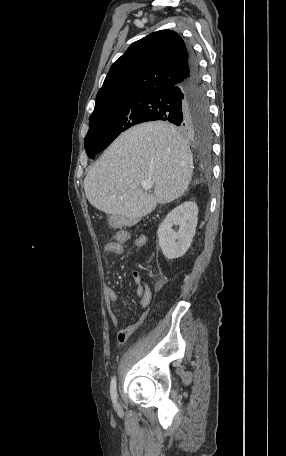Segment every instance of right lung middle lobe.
<instances>
[{
  "label": "right lung middle lobe",
  "mask_w": 286,
  "mask_h": 456,
  "mask_svg": "<svg viewBox=\"0 0 286 456\" xmlns=\"http://www.w3.org/2000/svg\"><path fill=\"white\" fill-rule=\"evenodd\" d=\"M140 98L141 96H133L120 99L93 112L84 141L91 159L110 145L121 132L144 121L145 108ZM191 129L208 139L211 133L210 115L204 121L194 124Z\"/></svg>",
  "instance_id": "obj_1"
}]
</instances>
